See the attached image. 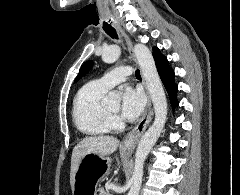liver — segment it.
Returning <instances> with one entry per match:
<instances>
[{
  "instance_id": "6515ba94",
  "label": "liver",
  "mask_w": 240,
  "mask_h": 195,
  "mask_svg": "<svg viewBox=\"0 0 240 195\" xmlns=\"http://www.w3.org/2000/svg\"><path fill=\"white\" fill-rule=\"evenodd\" d=\"M119 145V139L113 135H93V137H84L75 145L71 157L70 183L73 187L75 173L85 157L86 153H96V155H110L114 153Z\"/></svg>"
}]
</instances>
